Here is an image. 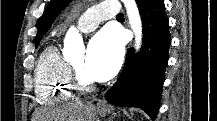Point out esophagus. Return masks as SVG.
Listing matches in <instances>:
<instances>
[{"mask_svg": "<svg viewBox=\"0 0 217 121\" xmlns=\"http://www.w3.org/2000/svg\"><path fill=\"white\" fill-rule=\"evenodd\" d=\"M98 104L101 105V106H105L106 102L104 100H100Z\"/></svg>", "mask_w": 217, "mask_h": 121, "instance_id": "esophagus-1", "label": "esophagus"}]
</instances>
